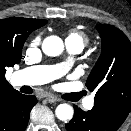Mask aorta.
I'll return each mask as SVG.
<instances>
[{
    "mask_svg": "<svg viewBox=\"0 0 131 131\" xmlns=\"http://www.w3.org/2000/svg\"><path fill=\"white\" fill-rule=\"evenodd\" d=\"M42 50L48 56H58L64 50L63 41L58 36H49L44 39ZM55 114L59 120L68 121L73 117V108L68 104H60L57 106Z\"/></svg>",
    "mask_w": 131,
    "mask_h": 131,
    "instance_id": "aorta-1",
    "label": "aorta"
}]
</instances>
